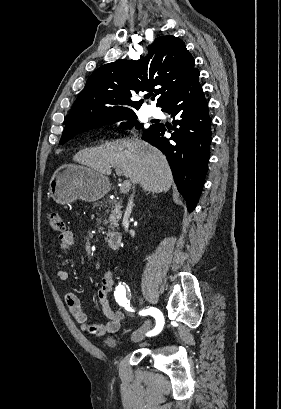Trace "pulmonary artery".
Segmentation results:
<instances>
[{
	"instance_id": "e3ab8cb5",
	"label": "pulmonary artery",
	"mask_w": 281,
	"mask_h": 409,
	"mask_svg": "<svg viewBox=\"0 0 281 409\" xmlns=\"http://www.w3.org/2000/svg\"><path fill=\"white\" fill-rule=\"evenodd\" d=\"M148 114L151 117L156 118V119H159V118L163 117V113L158 108H155V107H149L148 108Z\"/></svg>"
}]
</instances>
